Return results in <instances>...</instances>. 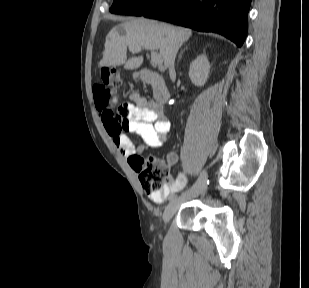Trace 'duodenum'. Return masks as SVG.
Returning <instances> with one entry per match:
<instances>
[{"mask_svg":"<svg viewBox=\"0 0 309 288\" xmlns=\"http://www.w3.org/2000/svg\"><path fill=\"white\" fill-rule=\"evenodd\" d=\"M142 78L144 82L151 85L156 103L160 106L165 105L169 100L170 93L163 77L149 69H144L142 70Z\"/></svg>","mask_w":309,"mask_h":288,"instance_id":"duodenum-1","label":"duodenum"}]
</instances>
